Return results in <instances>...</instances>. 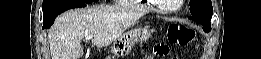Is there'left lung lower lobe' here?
Listing matches in <instances>:
<instances>
[{
  "mask_svg": "<svg viewBox=\"0 0 261 59\" xmlns=\"http://www.w3.org/2000/svg\"><path fill=\"white\" fill-rule=\"evenodd\" d=\"M190 19H191V20H194V21H196V22L201 23V24L203 25V30H204L205 32H209V31L211 30V24H210V22L204 21V20H201V19H198V18H196V17H191Z\"/></svg>",
  "mask_w": 261,
  "mask_h": 59,
  "instance_id": "obj_1",
  "label": "left lung lower lobe"
}]
</instances>
